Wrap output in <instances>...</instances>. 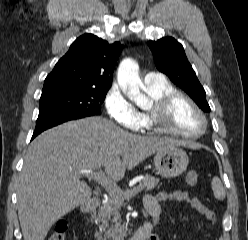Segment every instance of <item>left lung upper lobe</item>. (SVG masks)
<instances>
[{"label":"left lung upper lobe","instance_id":"5c2ea615","mask_svg":"<svg viewBox=\"0 0 248 240\" xmlns=\"http://www.w3.org/2000/svg\"><path fill=\"white\" fill-rule=\"evenodd\" d=\"M148 45L157 69L182 88L203 111L210 112L206 92L197 79L183 46L173 37L149 41Z\"/></svg>","mask_w":248,"mask_h":240}]
</instances>
